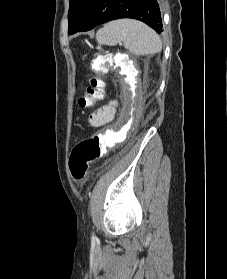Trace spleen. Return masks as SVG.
<instances>
[{"label": "spleen", "instance_id": "3e777b00", "mask_svg": "<svg viewBox=\"0 0 227 279\" xmlns=\"http://www.w3.org/2000/svg\"><path fill=\"white\" fill-rule=\"evenodd\" d=\"M96 40L99 44L110 46L123 42L124 47L135 55L156 54L162 49L157 33L146 24L132 19L105 24L98 30Z\"/></svg>", "mask_w": 227, "mask_h": 279}]
</instances>
